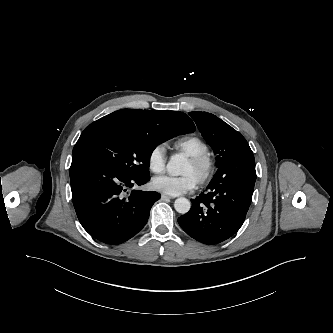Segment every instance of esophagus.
<instances>
[{"label":"esophagus","mask_w":333,"mask_h":333,"mask_svg":"<svg viewBox=\"0 0 333 333\" xmlns=\"http://www.w3.org/2000/svg\"><path fill=\"white\" fill-rule=\"evenodd\" d=\"M161 199L162 200H170V199H172V197L169 196V195H166V194H161Z\"/></svg>","instance_id":"1"}]
</instances>
